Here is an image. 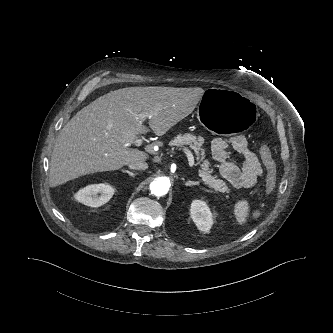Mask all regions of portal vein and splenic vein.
I'll return each mask as SVG.
<instances>
[{
  "instance_id": "obj_1",
  "label": "portal vein and splenic vein",
  "mask_w": 333,
  "mask_h": 333,
  "mask_svg": "<svg viewBox=\"0 0 333 333\" xmlns=\"http://www.w3.org/2000/svg\"><path fill=\"white\" fill-rule=\"evenodd\" d=\"M146 117L147 116L144 113H141L139 115L138 119L144 121ZM142 141L143 140L141 138H137L134 143H135L136 146H140L142 144ZM184 152L187 155V158H188V161H189V166L193 167V165H194V156H193L192 152L189 149H184Z\"/></svg>"
}]
</instances>
